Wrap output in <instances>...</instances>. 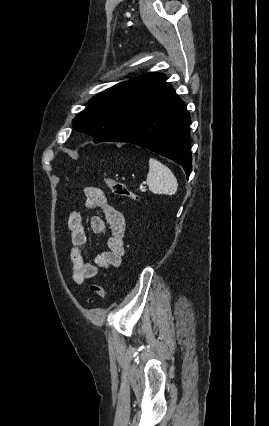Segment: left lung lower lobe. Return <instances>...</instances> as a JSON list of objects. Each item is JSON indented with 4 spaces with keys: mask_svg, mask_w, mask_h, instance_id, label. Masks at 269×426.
Returning <instances> with one entry per match:
<instances>
[{
    "mask_svg": "<svg viewBox=\"0 0 269 426\" xmlns=\"http://www.w3.org/2000/svg\"><path fill=\"white\" fill-rule=\"evenodd\" d=\"M190 120L185 104L160 74L132 96L117 126L103 141L154 151L180 164L188 178L192 171Z\"/></svg>",
    "mask_w": 269,
    "mask_h": 426,
    "instance_id": "1",
    "label": "left lung lower lobe"
}]
</instances>
